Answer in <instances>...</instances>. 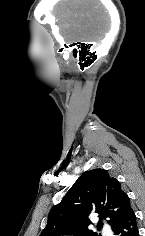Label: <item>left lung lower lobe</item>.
<instances>
[{
	"label": "left lung lower lobe",
	"mask_w": 145,
	"mask_h": 236,
	"mask_svg": "<svg viewBox=\"0 0 145 236\" xmlns=\"http://www.w3.org/2000/svg\"><path fill=\"white\" fill-rule=\"evenodd\" d=\"M115 236H139L136 216L131 210L125 218L112 228Z\"/></svg>",
	"instance_id": "left-lung-lower-lobe-1"
}]
</instances>
